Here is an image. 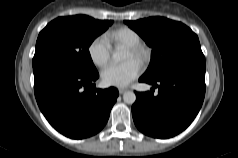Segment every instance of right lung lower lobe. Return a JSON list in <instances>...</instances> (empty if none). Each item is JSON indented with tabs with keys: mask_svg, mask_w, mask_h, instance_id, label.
Segmentation results:
<instances>
[{
	"mask_svg": "<svg viewBox=\"0 0 238 158\" xmlns=\"http://www.w3.org/2000/svg\"><path fill=\"white\" fill-rule=\"evenodd\" d=\"M34 92L40 110L61 134L82 139L107 123L118 90L96 89L98 72L86 75L52 58L33 62Z\"/></svg>",
	"mask_w": 238,
	"mask_h": 158,
	"instance_id": "1",
	"label": "right lung lower lobe"
}]
</instances>
